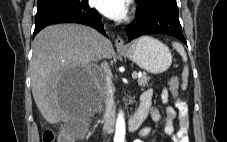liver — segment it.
Instances as JSON below:
<instances>
[{"label":"liver","instance_id":"6515ba94","mask_svg":"<svg viewBox=\"0 0 227 142\" xmlns=\"http://www.w3.org/2000/svg\"><path fill=\"white\" fill-rule=\"evenodd\" d=\"M96 31L77 24H59L41 30L33 42L30 63L31 87L35 103L48 123L67 120L74 115L71 96H77L80 85L89 80L97 85L91 67L100 59L93 48ZM104 58L114 49L103 37Z\"/></svg>","mask_w":227,"mask_h":142}]
</instances>
